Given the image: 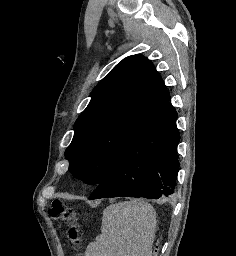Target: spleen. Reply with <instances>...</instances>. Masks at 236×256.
Wrapping results in <instances>:
<instances>
[{"label":"spleen","instance_id":"3e777b00","mask_svg":"<svg viewBox=\"0 0 236 256\" xmlns=\"http://www.w3.org/2000/svg\"><path fill=\"white\" fill-rule=\"evenodd\" d=\"M156 212L141 200L105 208L101 234L90 242L85 256H152Z\"/></svg>","mask_w":236,"mask_h":256}]
</instances>
